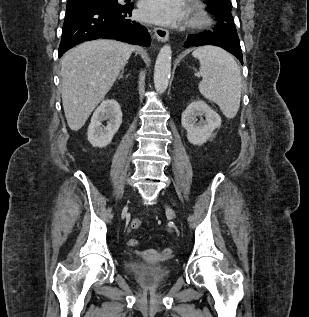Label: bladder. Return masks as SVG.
Returning <instances> with one entry per match:
<instances>
[{
	"label": "bladder",
	"instance_id": "1",
	"mask_svg": "<svg viewBox=\"0 0 309 317\" xmlns=\"http://www.w3.org/2000/svg\"><path fill=\"white\" fill-rule=\"evenodd\" d=\"M126 270L139 284L147 288L157 287L171 276L169 268L141 260H128Z\"/></svg>",
	"mask_w": 309,
	"mask_h": 317
}]
</instances>
